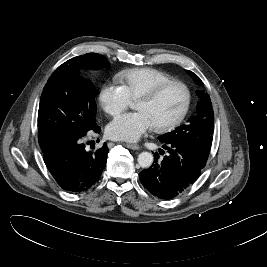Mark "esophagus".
Segmentation results:
<instances>
[{
  "label": "esophagus",
  "instance_id": "34e87169",
  "mask_svg": "<svg viewBox=\"0 0 267 267\" xmlns=\"http://www.w3.org/2000/svg\"><path fill=\"white\" fill-rule=\"evenodd\" d=\"M126 147L132 149V150H139L140 147L137 144H124Z\"/></svg>",
  "mask_w": 267,
  "mask_h": 267
}]
</instances>
